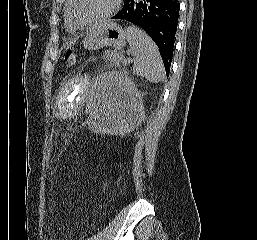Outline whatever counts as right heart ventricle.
<instances>
[{
	"instance_id": "1",
	"label": "right heart ventricle",
	"mask_w": 257,
	"mask_h": 240,
	"mask_svg": "<svg viewBox=\"0 0 257 240\" xmlns=\"http://www.w3.org/2000/svg\"><path fill=\"white\" fill-rule=\"evenodd\" d=\"M64 18H65V26H66V29L67 31L69 32H75L77 31L78 28H76L68 19L67 17V14H66V8H65V11H64Z\"/></svg>"
}]
</instances>
